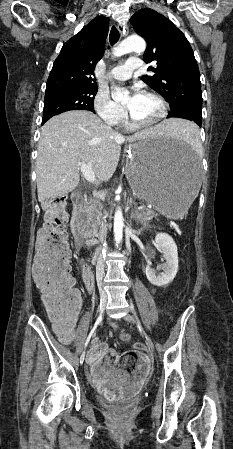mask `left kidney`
Listing matches in <instances>:
<instances>
[{
    "mask_svg": "<svg viewBox=\"0 0 233 449\" xmlns=\"http://www.w3.org/2000/svg\"><path fill=\"white\" fill-rule=\"evenodd\" d=\"M158 250L163 254L165 263L162 265L163 273L146 266V276L149 282L155 286H166L175 278L178 271V250L173 238L166 233H158L155 237Z\"/></svg>",
    "mask_w": 233,
    "mask_h": 449,
    "instance_id": "1",
    "label": "left kidney"
}]
</instances>
